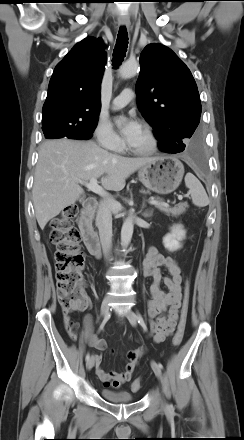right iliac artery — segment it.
I'll list each match as a JSON object with an SVG mask.
<instances>
[{
    "label": "right iliac artery",
    "instance_id": "1",
    "mask_svg": "<svg viewBox=\"0 0 244 440\" xmlns=\"http://www.w3.org/2000/svg\"><path fill=\"white\" fill-rule=\"evenodd\" d=\"M110 318V313L107 314V316L104 318V320L102 321L100 327H99V331L102 330L106 324V322L108 321V319ZM86 361H88L90 359V354L87 353L86 354Z\"/></svg>",
    "mask_w": 244,
    "mask_h": 440
}]
</instances>
